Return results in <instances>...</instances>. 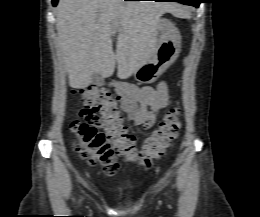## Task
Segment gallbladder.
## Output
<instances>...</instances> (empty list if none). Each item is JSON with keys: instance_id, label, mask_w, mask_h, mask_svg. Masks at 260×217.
Here are the masks:
<instances>
[{"instance_id": "obj_1", "label": "gallbladder", "mask_w": 260, "mask_h": 217, "mask_svg": "<svg viewBox=\"0 0 260 217\" xmlns=\"http://www.w3.org/2000/svg\"><path fill=\"white\" fill-rule=\"evenodd\" d=\"M104 81L103 78L101 77L100 74L98 73H93L91 77V84L96 85V86H101L103 85Z\"/></svg>"}]
</instances>
